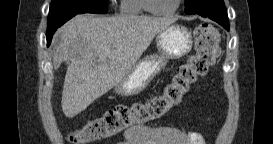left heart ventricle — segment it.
<instances>
[{
  "mask_svg": "<svg viewBox=\"0 0 273 144\" xmlns=\"http://www.w3.org/2000/svg\"><path fill=\"white\" fill-rule=\"evenodd\" d=\"M177 0H155L154 6L159 10H169L173 8Z\"/></svg>",
  "mask_w": 273,
  "mask_h": 144,
  "instance_id": "obj_1",
  "label": "left heart ventricle"
}]
</instances>
